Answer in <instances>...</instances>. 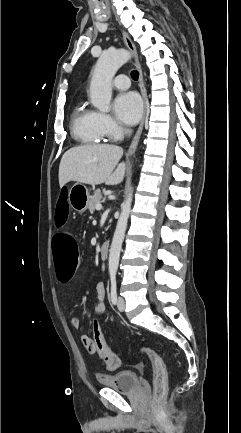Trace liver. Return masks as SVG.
Masks as SVG:
<instances>
[{
    "label": "liver",
    "instance_id": "6515ba94",
    "mask_svg": "<svg viewBox=\"0 0 241 433\" xmlns=\"http://www.w3.org/2000/svg\"><path fill=\"white\" fill-rule=\"evenodd\" d=\"M123 149L116 145H84L73 147L62 156L59 185L70 181L99 185H117L125 177L126 164L119 163Z\"/></svg>",
    "mask_w": 241,
    "mask_h": 433
}]
</instances>
